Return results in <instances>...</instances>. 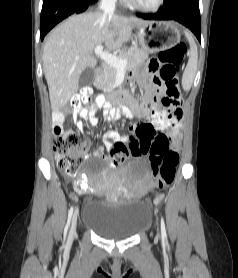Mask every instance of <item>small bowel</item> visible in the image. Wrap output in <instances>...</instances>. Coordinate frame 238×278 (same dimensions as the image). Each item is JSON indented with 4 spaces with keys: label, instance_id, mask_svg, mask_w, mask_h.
<instances>
[{
    "label": "small bowel",
    "instance_id": "1",
    "mask_svg": "<svg viewBox=\"0 0 238 278\" xmlns=\"http://www.w3.org/2000/svg\"><path fill=\"white\" fill-rule=\"evenodd\" d=\"M148 67H146L147 76H151L150 84L147 83L146 76L143 73H136L131 75V80L138 81L146 89V95L141 102L128 101L127 103L114 105L104 95H99L96 98V108L103 110V117L106 120L116 121L121 117L132 118L133 116L140 117H154L152 102H158L160 93H154L157 89H165L166 85L163 84V76H158L161 72L163 65L158 55H149ZM173 115L171 118V125L165 129L161 134H157L158 128L155 121L145 122L130 128L128 135H121L117 131H107L102 136L103 147L98 148L93 156L104 158V149L111 150L116 144H131L139 142L141 137H153V144H170V150L175 151L180 145L179 132L181 128L182 110L180 108V100L178 96L173 100ZM78 116L88 120L92 126H98L99 120L95 116L94 110L80 109L72 112V120L76 126L81 129L83 124L78 119ZM65 115L61 111H55L52 114V124L54 133L56 132H72L70 129H64L63 124ZM83 158L89 159L92 155L87 153L89 149V142L84 141L81 144ZM154 186L152 181L147 182V189ZM77 191H84L83 183L78 181L74 184ZM75 198V196H72Z\"/></svg>",
    "mask_w": 238,
    "mask_h": 278
}]
</instances>
